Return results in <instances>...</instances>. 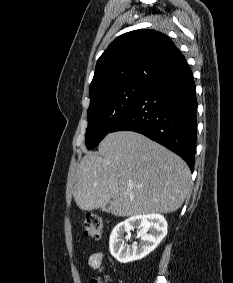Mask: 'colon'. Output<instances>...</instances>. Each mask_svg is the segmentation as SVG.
Listing matches in <instances>:
<instances>
[{"mask_svg":"<svg viewBox=\"0 0 233 283\" xmlns=\"http://www.w3.org/2000/svg\"><path fill=\"white\" fill-rule=\"evenodd\" d=\"M82 234L86 238L97 240L102 232V219L98 215H89L81 226ZM91 283H103L99 279H93Z\"/></svg>","mask_w":233,"mask_h":283,"instance_id":"1","label":"colon"}]
</instances>
